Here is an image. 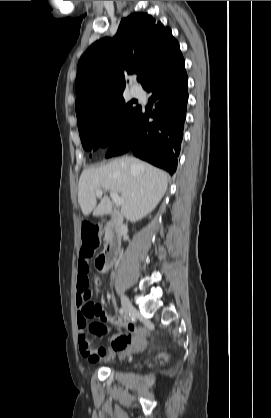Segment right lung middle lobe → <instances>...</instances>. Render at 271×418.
<instances>
[{"instance_id": "dd1d6c3e", "label": "right lung middle lobe", "mask_w": 271, "mask_h": 418, "mask_svg": "<svg viewBox=\"0 0 271 418\" xmlns=\"http://www.w3.org/2000/svg\"><path fill=\"white\" fill-rule=\"evenodd\" d=\"M140 106L131 101L125 104L123 95H119L85 114L77 116L82 145L91 151L105 147L110 137L124 127Z\"/></svg>"}]
</instances>
